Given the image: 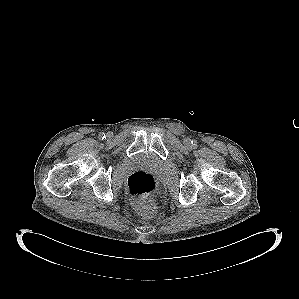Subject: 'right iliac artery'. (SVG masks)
Here are the masks:
<instances>
[{
    "mask_svg": "<svg viewBox=\"0 0 299 299\" xmlns=\"http://www.w3.org/2000/svg\"><path fill=\"white\" fill-rule=\"evenodd\" d=\"M99 138H100V139H104V138H105V134H104V133H101V134L99 135Z\"/></svg>",
    "mask_w": 299,
    "mask_h": 299,
    "instance_id": "obj_1",
    "label": "right iliac artery"
}]
</instances>
